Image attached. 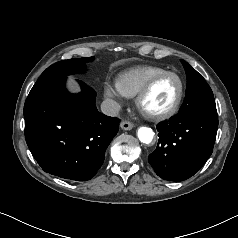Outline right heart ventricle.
<instances>
[{"mask_svg": "<svg viewBox=\"0 0 238 238\" xmlns=\"http://www.w3.org/2000/svg\"><path fill=\"white\" fill-rule=\"evenodd\" d=\"M166 71L157 66H138L118 75L117 84L126 97H136L146 83L155 75Z\"/></svg>", "mask_w": 238, "mask_h": 238, "instance_id": "obj_1", "label": "right heart ventricle"}]
</instances>
